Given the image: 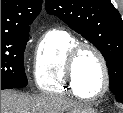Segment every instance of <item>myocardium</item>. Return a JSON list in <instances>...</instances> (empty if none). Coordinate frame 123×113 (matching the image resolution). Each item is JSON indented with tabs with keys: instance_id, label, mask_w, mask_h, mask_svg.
I'll return each instance as SVG.
<instances>
[{
	"instance_id": "1",
	"label": "myocardium",
	"mask_w": 123,
	"mask_h": 113,
	"mask_svg": "<svg viewBox=\"0 0 123 113\" xmlns=\"http://www.w3.org/2000/svg\"><path fill=\"white\" fill-rule=\"evenodd\" d=\"M86 50L93 52L99 59L102 69H103V77L104 84L102 89L96 94H85L79 90L78 83L75 75V66L79 56ZM65 71L67 75V79L71 85V87L81 95L82 98L87 99H97L106 94L109 89L110 84V72L107 60L103 54V52L95 45L91 43H77L69 52L68 57L65 62Z\"/></svg>"
}]
</instances>
